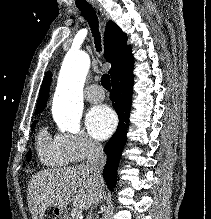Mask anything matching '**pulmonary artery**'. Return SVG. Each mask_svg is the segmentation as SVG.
<instances>
[{
  "label": "pulmonary artery",
  "instance_id": "e3ab8cb5",
  "mask_svg": "<svg viewBox=\"0 0 211 219\" xmlns=\"http://www.w3.org/2000/svg\"><path fill=\"white\" fill-rule=\"evenodd\" d=\"M85 97L91 103H98L104 99L105 93L100 89L99 85L92 84L87 88Z\"/></svg>",
  "mask_w": 211,
  "mask_h": 219
}]
</instances>
